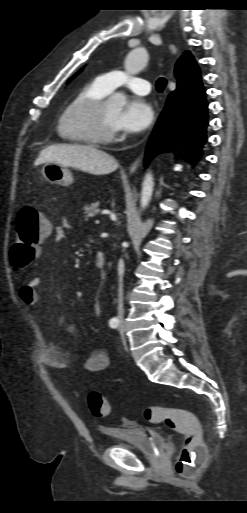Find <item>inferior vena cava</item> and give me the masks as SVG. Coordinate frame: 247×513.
Masks as SVG:
<instances>
[{"label": "inferior vena cava", "instance_id": "602c4592", "mask_svg": "<svg viewBox=\"0 0 247 513\" xmlns=\"http://www.w3.org/2000/svg\"><path fill=\"white\" fill-rule=\"evenodd\" d=\"M123 260L119 261V279H118V318H123Z\"/></svg>", "mask_w": 247, "mask_h": 513}]
</instances>
